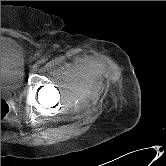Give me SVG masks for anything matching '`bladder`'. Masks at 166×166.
<instances>
[{"label":"bladder","mask_w":166,"mask_h":166,"mask_svg":"<svg viewBox=\"0 0 166 166\" xmlns=\"http://www.w3.org/2000/svg\"><path fill=\"white\" fill-rule=\"evenodd\" d=\"M24 82V58L19 44L1 36V91H15Z\"/></svg>","instance_id":"bladder-1"}]
</instances>
